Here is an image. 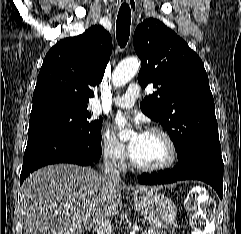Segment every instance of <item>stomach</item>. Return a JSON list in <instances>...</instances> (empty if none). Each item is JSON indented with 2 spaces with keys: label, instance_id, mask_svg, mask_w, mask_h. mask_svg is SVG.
Returning a JSON list of instances; mask_svg holds the SVG:
<instances>
[{
  "label": "stomach",
  "instance_id": "obj_1",
  "mask_svg": "<svg viewBox=\"0 0 241 234\" xmlns=\"http://www.w3.org/2000/svg\"><path fill=\"white\" fill-rule=\"evenodd\" d=\"M134 205L154 228L171 226L177 216V207L171 199L153 190L135 194Z\"/></svg>",
  "mask_w": 241,
  "mask_h": 234
}]
</instances>
